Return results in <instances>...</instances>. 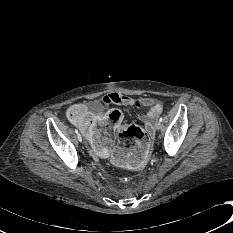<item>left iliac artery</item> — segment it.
Listing matches in <instances>:
<instances>
[{
	"instance_id": "obj_1",
	"label": "left iliac artery",
	"mask_w": 233,
	"mask_h": 233,
	"mask_svg": "<svg viewBox=\"0 0 233 233\" xmlns=\"http://www.w3.org/2000/svg\"><path fill=\"white\" fill-rule=\"evenodd\" d=\"M159 121H160V122H163V121H164V119L161 117Z\"/></svg>"
}]
</instances>
